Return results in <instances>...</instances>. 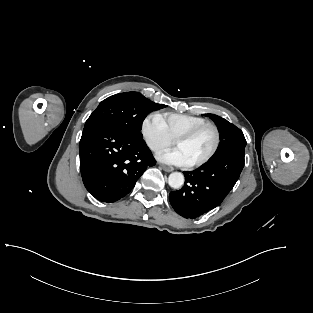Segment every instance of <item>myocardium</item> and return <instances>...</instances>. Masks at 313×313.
Listing matches in <instances>:
<instances>
[{"mask_svg":"<svg viewBox=\"0 0 313 313\" xmlns=\"http://www.w3.org/2000/svg\"><path fill=\"white\" fill-rule=\"evenodd\" d=\"M207 128L212 129L214 132V136H215L214 145H213L211 151L204 158L200 159L199 161H196V162L189 164V166L192 168H197V167H201V166L205 165L216 155V153L219 149L220 143H221V133H220L219 127L212 122H205L201 125H198V126L192 128L191 130L183 133L182 135H180L179 137H177L175 139V144L180 143V142L189 141L192 138H194L197 134H199L201 131H203Z\"/></svg>","mask_w":313,"mask_h":313,"instance_id":"1","label":"myocardium"}]
</instances>
